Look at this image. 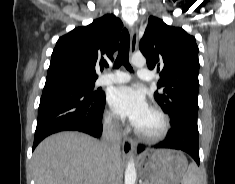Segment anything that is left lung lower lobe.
<instances>
[{"mask_svg": "<svg viewBox=\"0 0 235 184\" xmlns=\"http://www.w3.org/2000/svg\"><path fill=\"white\" fill-rule=\"evenodd\" d=\"M155 148L182 150L192 156L199 165L200 159L197 121L185 115L171 120V129L166 140L156 145ZM143 150V146L138 147V152Z\"/></svg>", "mask_w": 235, "mask_h": 184, "instance_id": "left-lung-lower-lobe-1", "label": "left lung lower lobe"}]
</instances>
